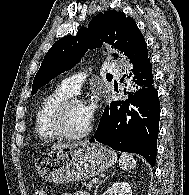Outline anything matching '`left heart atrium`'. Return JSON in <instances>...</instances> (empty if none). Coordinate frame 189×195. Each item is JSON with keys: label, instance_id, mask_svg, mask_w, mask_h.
Segmentation results:
<instances>
[{"label": "left heart atrium", "instance_id": "1", "mask_svg": "<svg viewBox=\"0 0 189 195\" xmlns=\"http://www.w3.org/2000/svg\"><path fill=\"white\" fill-rule=\"evenodd\" d=\"M86 106H87L88 113H89L90 117L92 118V116L96 110V102L91 101V102L87 103Z\"/></svg>", "mask_w": 189, "mask_h": 195}]
</instances>
